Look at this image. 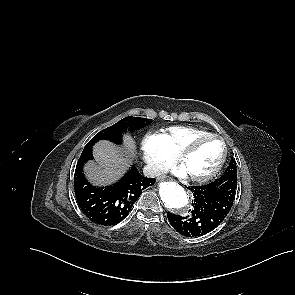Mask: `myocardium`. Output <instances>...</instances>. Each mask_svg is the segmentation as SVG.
<instances>
[{
    "instance_id": "myocardium-1",
    "label": "myocardium",
    "mask_w": 295,
    "mask_h": 295,
    "mask_svg": "<svg viewBox=\"0 0 295 295\" xmlns=\"http://www.w3.org/2000/svg\"><path fill=\"white\" fill-rule=\"evenodd\" d=\"M209 139L218 140L222 145V154L216 166L207 174L202 176H191L189 178L193 182L205 183L212 180L223 168L227 158V145L222 137L216 134H205L192 139L177 155L179 163L183 164L185 159L204 141Z\"/></svg>"
}]
</instances>
